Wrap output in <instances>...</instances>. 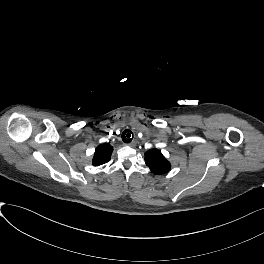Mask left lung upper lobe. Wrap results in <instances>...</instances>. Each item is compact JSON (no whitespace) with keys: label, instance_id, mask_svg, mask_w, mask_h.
I'll return each mask as SVG.
<instances>
[{"label":"left lung upper lobe","instance_id":"1","mask_svg":"<svg viewBox=\"0 0 264 264\" xmlns=\"http://www.w3.org/2000/svg\"><path fill=\"white\" fill-rule=\"evenodd\" d=\"M145 162L155 175L165 174L171 168L169 161L157 149H151L145 153Z\"/></svg>","mask_w":264,"mask_h":264}]
</instances>
